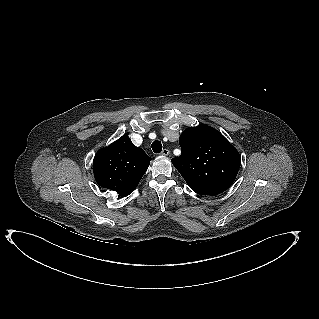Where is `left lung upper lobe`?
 I'll use <instances>...</instances> for the list:
<instances>
[{
  "instance_id": "5c2ea615",
  "label": "left lung upper lobe",
  "mask_w": 319,
  "mask_h": 319,
  "mask_svg": "<svg viewBox=\"0 0 319 319\" xmlns=\"http://www.w3.org/2000/svg\"><path fill=\"white\" fill-rule=\"evenodd\" d=\"M179 144L181 155L172 163L194 192L217 195L232 185L241 158L220 132L206 125L189 127Z\"/></svg>"
}]
</instances>
